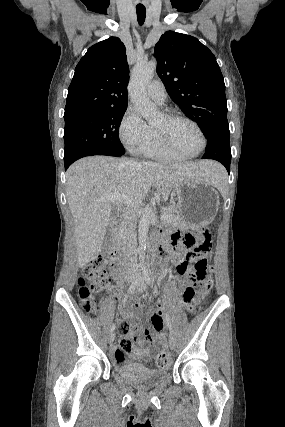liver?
<instances>
[{
    "label": "liver",
    "mask_w": 285,
    "mask_h": 427,
    "mask_svg": "<svg viewBox=\"0 0 285 427\" xmlns=\"http://www.w3.org/2000/svg\"><path fill=\"white\" fill-rule=\"evenodd\" d=\"M220 168L205 160L141 162L108 156L86 157L73 163L66 172V196L74 220L79 267L94 260L101 251L114 209L113 202L102 201L103 197L118 194L135 209L151 187L168 197L179 182L188 178L213 185Z\"/></svg>",
    "instance_id": "6515ba94"
}]
</instances>
